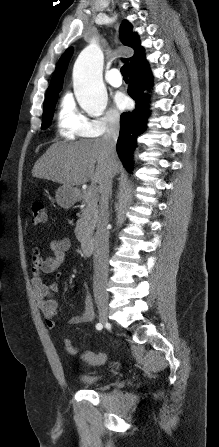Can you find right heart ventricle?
Returning <instances> with one entry per match:
<instances>
[{
	"mask_svg": "<svg viewBox=\"0 0 219 447\" xmlns=\"http://www.w3.org/2000/svg\"><path fill=\"white\" fill-rule=\"evenodd\" d=\"M57 131L65 140L93 137L90 121L77 109L72 97L65 95L57 112Z\"/></svg>",
	"mask_w": 219,
	"mask_h": 447,
	"instance_id": "1",
	"label": "right heart ventricle"
}]
</instances>
